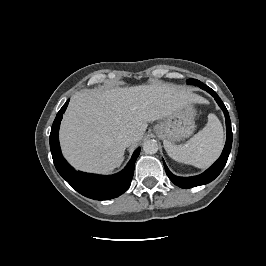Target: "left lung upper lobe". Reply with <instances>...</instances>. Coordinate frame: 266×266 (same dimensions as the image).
<instances>
[{"label":"left lung upper lobe","instance_id":"1","mask_svg":"<svg viewBox=\"0 0 266 266\" xmlns=\"http://www.w3.org/2000/svg\"><path fill=\"white\" fill-rule=\"evenodd\" d=\"M195 81V79H191V80H189L188 82L189 83H193Z\"/></svg>","mask_w":266,"mask_h":266}]
</instances>
